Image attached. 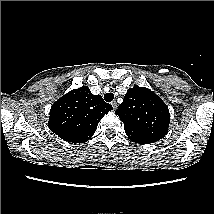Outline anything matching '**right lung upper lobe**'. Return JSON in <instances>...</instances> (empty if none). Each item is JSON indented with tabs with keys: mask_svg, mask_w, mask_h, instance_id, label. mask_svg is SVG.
I'll list each match as a JSON object with an SVG mask.
<instances>
[{
	"mask_svg": "<svg viewBox=\"0 0 214 214\" xmlns=\"http://www.w3.org/2000/svg\"><path fill=\"white\" fill-rule=\"evenodd\" d=\"M112 109L100 95H93L87 86H83L54 102L48 126L65 141L84 143L93 136L99 121Z\"/></svg>",
	"mask_w": 214,
	"mask_h": 214,
	"instance_id": "obj_1",
	"label": "right lung upper lobe"
}]
</instances>
